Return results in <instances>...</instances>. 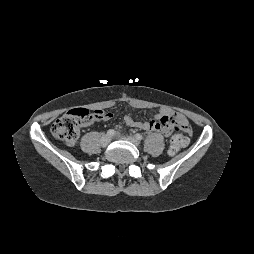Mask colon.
Wrapping results in <instances>:
<instances>
[{"instance_id":"1","label":"colon","mask_w":254,"mask_h":254,"mask_svg":"<svg viewBox=\"0 0 254 254\" xmlns=\"http://www.w3.org/2000/svg\"><path fill=\"white\" fill-rule=\"evenodd\" d=\"M99 116L98 111H88L84 108L73 109L54 121L51 127L52 135L69 146L76 144L81 126L89 120ZM171 129L174 135L171 139L169 152L175 154L179 149L187 145L188 139L185 136L190 131L188 123L181 119L175 118L171 123Z\"/></svg>"}]
</instances>
